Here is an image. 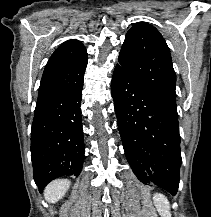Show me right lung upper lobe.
Returning <instances> with one entry per match:
<instances>
[{"label": "right lung upper lobe", "instance_id": "obj_1", "mask_svg": "<svg viewBox=\"0 0 211 217\" xmlns=\"http://www.w3.org/2000/svg\"><path fill=\"white\" fill-rule=\"evenodd\" d=\"M87 66V51L75 39L62 43L50 57L39 87L38 100L55 94L77 82Z\"/></svg>", "mask_w": 211, "mask_h": 217}]
</instances>
